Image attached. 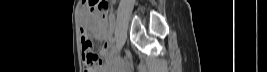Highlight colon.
I'll list each match as a JSON object with an SVG mask.
<instances>
[{
  "label": "colon",
  "instance_id": "colon-1",
  "mask_svg": "<svg viewBox=\"0 0 267 72\" xmlns=\"http://www.w3.org/2000/svg\"><path fill=\"white\" fill-rule=\"evenodd\" d=\"M86 4L89 11L100 14L103 18H107L109 12L108 0H87ZM90 48L91 42L88 39L83 40L82 58L85 72H94L99 61L98 55L90 51Z\"/></svg>",
  "mask_w": 267,
  "mask_h": 72
}]
</instances>
